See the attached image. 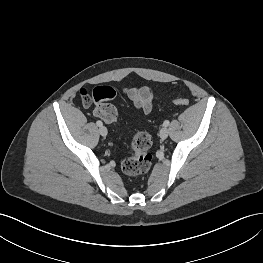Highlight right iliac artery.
<instances>
[{"instance_id":"82829eb1","label":"right iliac artery","mask_w":263,"mask_h":263,"mask_svg":"<svg viewBox=\"0 0 263 263\" xmlns=\"http://www.w3.org/2000/svg\"><path fill=\"white\" fill-rule=\"evenodd\" d=\"M96 124H97V126H99V127L103 125V123H102L101 121H97Z\"/></svg>"}]
</instances>
